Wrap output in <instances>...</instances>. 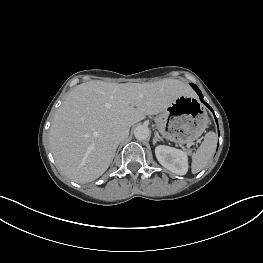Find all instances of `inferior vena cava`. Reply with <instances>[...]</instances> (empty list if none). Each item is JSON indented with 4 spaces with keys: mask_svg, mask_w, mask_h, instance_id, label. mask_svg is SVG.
<instances>
[{
    "mask_svg": "<svg viewBox=\"0 0 263 263\" xmlns=\"http://www.w3.org/2000/svg\"><path fill=\"white\" fill-rule=\"evenodd\" d=\"M129 135V128L126 126H117L113 129L111 139L115 144H119Z\"/></svg>",
    "mask_w": 263,
    "mask_h": 263,
    "instance_id": "1",
    "label": "inferior vena cava"
}]
</instances>
